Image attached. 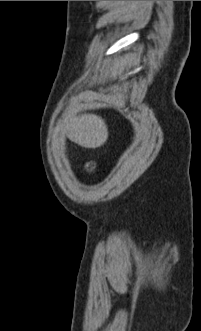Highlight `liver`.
I'll list each match as a JSON object with an SVG mask.
<instances>
[{
    "mask_svg": "<svg viewBox=\"0 0 201 331\" xmlns=\"http://www.w3.org/2000/svg\"><path fill=\"white\" fill-rule=\"evenodd\" d=\"M62 132L74 143L84 148H98L108 139L105 121L95 114L76 116L65 113L60 121Z\"/></svg>",
    "mask_w": 201,
    "mask_h": 331,
    "instance_id": "1",
    "label": "liver"
}]
</instances>
